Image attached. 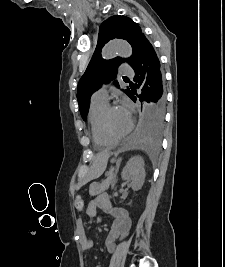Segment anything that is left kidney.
I'll list each match as a JSON object with an SVG mask.
<instances>
[{
    "instance_id": "1",
    "label": "left kidney",
    "mask_w": 225,
    "mask_h": 267,
    "mask_svg": "<svg viewBox=\"0 0 225 267\" xmlns=\"http://www.w3.org/2000/svg\"><path fill=\"white\" fill-rule=\"evenodd\" d=\"M121 177L131 182L134 191L140 190L145 180L144 160L140 156L130 158L122 170Z\"/></svg>"
}]
</instances>
